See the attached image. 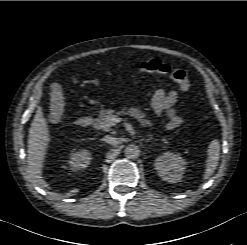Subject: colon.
<instances>
[{"label": "colon", "instance_id": "5ec220e1", "mask_svg": "<svg viewBox=\"0 0 247 245\" xmlns=\"http://www.w3.org/2000/svg\"><path fill=\"white\" fill-rule=\"evenodd\" d=\"M138 70L144 73L165 75L171 78L179 87L181 92H187L190 89L189 74L184 69L172 68L167 63L159 59H147L140 61ZM49 118L57 122L63 116L65 110V96L63 88L59 84H54L50 91ZM184 120L179 115H173L168 118L167 127L170 130H176L183 126Z\"/></svg>", "mask_w": 247, "mask_h": 245}]
</instances>
